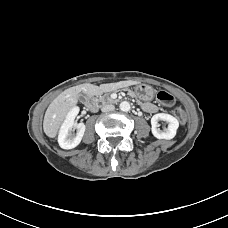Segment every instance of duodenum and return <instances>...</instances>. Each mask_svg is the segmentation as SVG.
I'll return each mask as SVG.
<instances>
[{
	"label": "duodenum",
	"instance_id": "duodenum-1",
	"mask_svg": "<svg viewBox=\"0 0 228 228\" xmlns=\"http://www.w3.org/2000/svg\"><path fill=\"white\" fill-rule=\"evenodd\" d=\"M86 105H87V107H89L93 111H95L98 108V103H97L96 99L91 95H89L87 97Z\"/></svg>",
	"mask_w": 228,
	"mask_h": 228
}]
</instances>
